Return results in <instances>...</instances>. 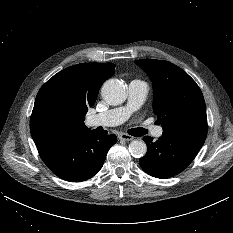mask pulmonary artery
Returning a JSON list of instances; mask_svg holds the SVG:
<instances>
[{"instance_id": "1", "label": "pulmonary artery", "mask_w": 233, "mask_h": 233, "mask_svg": "<svg viewBox=\"0 0 233 233\" xmlns=\"http://www.w3.org/2000/svg\"><path fill=\"white\" fill-rule=\"evenodd\" d=\"M148 94V85L142 80H132L128 86V101L125 106L114 108L106 112L96 114L88 119L90 126L112 127L125 122L130 115L145 101ZM163 134V128L157 127L153 135L157 138Z\"/></svg>"}]
</instances>
